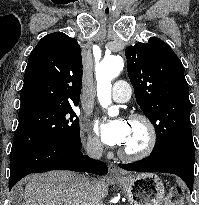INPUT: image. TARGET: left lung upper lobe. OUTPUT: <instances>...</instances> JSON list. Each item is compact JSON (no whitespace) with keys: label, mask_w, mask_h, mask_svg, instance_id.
<instances>
[{"label":"left lung upper lobe","mask_w":199,"mask_h":205,"mask_svg":"<svg viewBox=\"0 0 199 205\" xmlns=\"http://www.w3.org/2000/svg\"><path fill=\"white\" fill-rule=\"evenodd\" d=\"M136 101L156 131L158 154L177 144H194L189 88L180 59L164 41L151 37L125 50Z\"/></svg>","instance_id":"left-lung-upper-lobe-1"}]
</instances>
